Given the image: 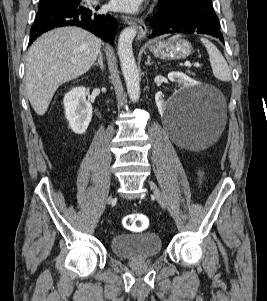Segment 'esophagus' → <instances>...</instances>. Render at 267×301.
Here are the masks:
<instances>
[{"mask_svg": "<svg viewBox=\"0 0 267 301\" xmlns=\"http://www.w3.org/2000/svg\"><path fill=\"white\" fill-rule=\"evenodd\" d=\"M123 20L129 25H135L138 27V39L145 37L147 29L142 19L138 17L123 16Z\"/></svg>", "mask_w": 267, "mask_h": 301, "instance_id": "1", "label": "esophagus"}]
</instances>
